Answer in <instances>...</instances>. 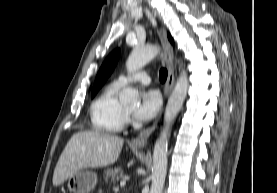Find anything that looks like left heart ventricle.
Here are the masks:
<instances>
[{"label":"left heart ventricle","instance_id":"b2bd125f","mask_svg":"<svg viewBox=\"0 0 277 193\" xmlns=\"http://www.w3.org/2000/svg\"><path fill=\"white\" fill-rule=\"evenodd\" d=\"M125 109L128 111V112H132L134 107L133 106H127L125 107Z\"/></svg>","mask_w":277,"mask_h":193}]
</instances>
